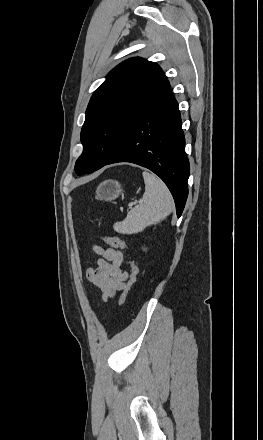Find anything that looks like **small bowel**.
Instances as JSON below:
<instances>
[{"label": "small bowel", "instance_id": "small-bowel-1", "mask_svg": "<svg viewBox=\"0 0 263 440\" xmlns=\"http://www.w3.org/2000/svg\"><path fill=\"white\" fill-rule=\"evenodd\" d=\"M92 250L99 256L96 261L97 267L89 268L86 276L101 292L103 300H107L124 289L129 275L122 267L123 255L120 251L99 245H93Z\"/></svg>", "mask_w": 263, "mask_h": 440}]
</instances>
